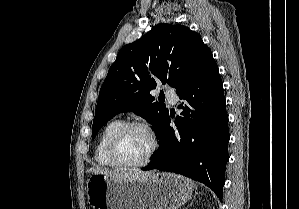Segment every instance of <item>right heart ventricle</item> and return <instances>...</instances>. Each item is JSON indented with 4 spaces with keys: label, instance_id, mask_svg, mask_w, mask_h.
<instances>
[{
    "label": "right heart ventricle",
    "instance_id": "e07e8e85",
    "mask_svg": "<svg viewBox=\"0 0 299 209\" xmlns=\"http://www.w3.org/2000/svg\"><path fill=\"white\" fill-rule=\"evenodd\" d=\"M122 123V120L119 118H114L110 120L101 131L95 147V159L99 165L111 166L107 157L108 143L112 134Z\"/></svg>",
    "mask_w": 299,
    "mask_h": 209
}]
</instances>
